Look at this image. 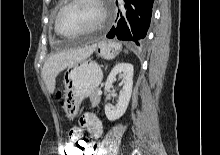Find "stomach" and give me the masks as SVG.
I'll return each instance as SVG.
<instances>
[{
  "mask_svg": "<svg viewBox=\"0 0 220 155\" xmlns=\"http://www.w3.org/2000/svg\"><path fill=\"white\" fill-rule=\"evenodd\" d=\"M121 46L116 42L103 41L96 47L100 55L114 58ZM67 71L64 78V104L65 117L72 120L78 113L82 101L91 96L102 81L103 73L100 66L93 61L84 60Z\"/></svg>",
  "mask_w": 220,
  "mask_h": 155,
  "instance_id": "0dacf381",
  "label": "stomach"
}]
</instances>
